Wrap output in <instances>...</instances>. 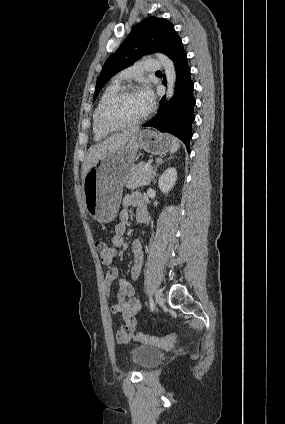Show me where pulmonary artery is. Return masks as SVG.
Here are the masks:
<instances>
[{
    "instance_id": "obj_1",
    "label": "pulmonary artery",
    "mask_w": 285,
    "mask_h": 424,
    "mask_svg": "<svg viewBox=\"0 0 285 424\" xmlns=\"http://www.w3.org/2000/svg\"><path fill=\"white\" fill-rule=\"evenodd\" d=\"M161 67H162L161 63L157 60H153V59L144 60L137 63L133 67H130L118 73L115 77V80L117 82H122L125 80H129L133 77L140 76L142 75L143 72H146V73L157 72L161 69Z\"/></svg>"
}]
</instances>
